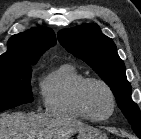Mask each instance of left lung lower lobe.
I'll return each mask as SVG.
<instances>
[{"label":"left lung lower lobe","instance_id":"obj_1","mask_svg":"<svg viewBox=\"0 0 141 139\" xmlns=\"http://www.w3.org/2000/svg\"><path fill=\"white\" fill-rule=\"evenodd\" d=\"M137 136L141 139V134H137Z\"/></svg>","mask_w":141,"mask_h":139}]
</instances>
